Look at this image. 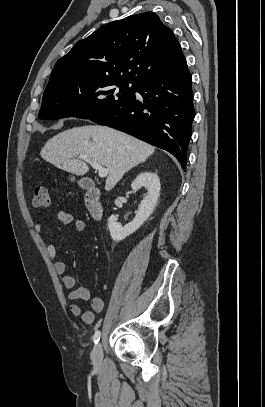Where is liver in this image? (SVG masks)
Wrapping results in <instances>:
<instances>
[{
    "label": "liver",
    "mask_w": 265,
    "mask_h": 407,
    "mask_svg": "<svg viewBox=\"0 0 265 407\" xmlns=\"http://www.w3.org/2000/svg\"><path fill=\"white\" fill-rule=\"evenodd\" d=\"M154 151L152 145L121 131L107 126L85 125L52 137L40 155L57 168L76 175L88 172V165L77 158L87 156L108 170L105 190L110 191L126 172L146 161Z\"/></svg>",
    "instance_id": "obj_1"
}]
</instances>
